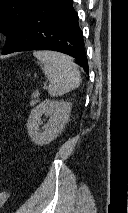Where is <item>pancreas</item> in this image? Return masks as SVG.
I'll return each instance as SVG.
<instances>
[{
	"instance_id": "1",
	"label": "pancreas",
	"mask_w": 128,
	"mask_h": 213,
	"mask_svg": "<svg viewBox=\"0 0 128 213\" xmlns=\"http://www.w3.org/2000/svg\"><path fill=\"white\" fill-rule=\"evenodd\" d=\"M38 102H39V100H38L36 97H34V99H32V100L30 101V106L33 107V106H35Z\"/></svg>"
}]
</instances>
